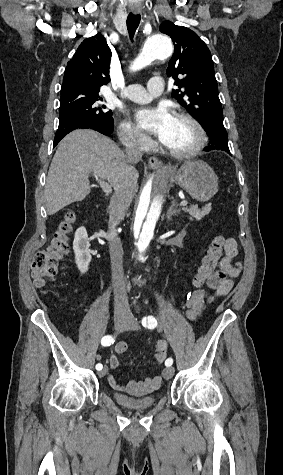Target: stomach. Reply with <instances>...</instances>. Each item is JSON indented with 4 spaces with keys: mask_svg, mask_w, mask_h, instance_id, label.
<instances>
[{
    "mask_svg": "<svg viewBox=\"0 0 283 475\" xmlns=\"http://www.w3.org/2000/svg\"><path fill=\"white\" fill-rule=\"evenodd\" d=\"M157 174L178 184L198 202H208L218 192V178L203 160H186L178 170L163 168Z\"/></svg>",
    "mask_w": 283,
    "mask_h": 475,
    "instance_id": "1",
    "label": "stomach"
}]
</instances>
